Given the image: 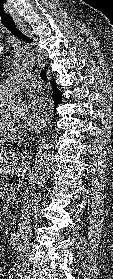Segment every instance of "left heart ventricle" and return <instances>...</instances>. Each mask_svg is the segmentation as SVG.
Instances as JSON below:
<instances>
[{
    "label": "left heart ventricle",
    "mask_w": 113,
    "mask_h": 279,
    "mask_svg": "<svg viewBox=\"0 0 113 279\" xmlns=\"http://www.w3.org/2000/svg\"><path fill=\"white\" fill-rule=\"evenodd\" d=\"M9 119L16 125H19L23 120V110L16 109L8 112Z\"/></svg>",
    "instance_id": "b2bd125f"
}]
</instances>
